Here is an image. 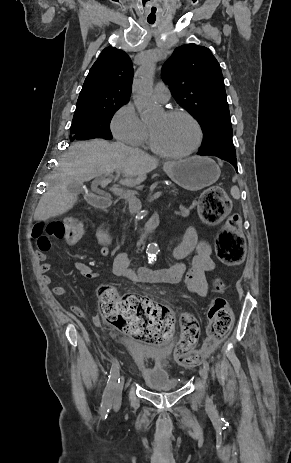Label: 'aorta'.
<instances>
[{
    "mask_svg": "<svg viewBox=\"0 0 291 463\" xmlns=\"http://www.w3.org/2000/svg\"><path fill=\"white\" fill-rule=\"evenodd\" d=\"M155 67V60H148L138 69L133 81V100L142 119L150 117L154 111L152 90ZM157 252L158 245L152 243L148 248L149 263L156 260Z\"/></svg>",
    "mask_w": 291,
    "mask_h": 463,
    "instance_id": "1",
    "label": "aorta"
}]
</instances>
